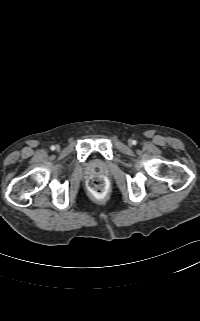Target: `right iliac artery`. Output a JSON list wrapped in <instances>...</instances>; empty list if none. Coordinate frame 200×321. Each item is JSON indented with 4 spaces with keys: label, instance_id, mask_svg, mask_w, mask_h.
I'll use <instances>...</instances> for the list:
<instances>
[{
    "label": "right iliac artery",
    "instance_id": "obj_1",
    "mask_svg": "<svg viewBox=\"0 0 200 321\" xmlns=\"http://www.w3.org/2000/svg\"><path fill=\"white\" fill-rule=\"evenodd\" d=\"M50 149H51V150H55L56 148H55V146L52 145V146L50 147Z\"/></svg>",
    "mask_w": 200,
    "mask_h": 321
}]
</instances>
